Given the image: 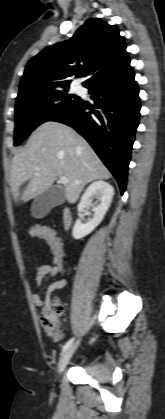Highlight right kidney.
<instances>
[{
	"label": "right kidney",
	"instance_id": "ca27d5eb",
	"mask_svg": "<svg viewBox=\"0 0 165 419\" xmlns=\"http://www.w3.org/2000/svg\"><path fill=\"white\" fill-rule=\"evenodd\" d=\"M113 196L114 188L109 183L98 180L90 184L81 198L78 212H83L85 208L92 206L93 198H97L100 203L93 206L94 216L89 222L83 224L80 219L76 220L72 230L75 239H81L90 234L101 223L110 207Z\"/></svg>",
	"mask_w": 165,
	"mask_h": 419
}]
</instances>
